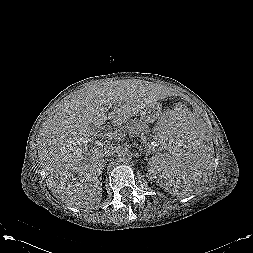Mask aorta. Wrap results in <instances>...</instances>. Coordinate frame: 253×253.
I'll return each instance as SVG.
<instances>
[{
  "label": "aorta",
  "mask_w": 253,
  "mask_h": 253,
  "mask_svg": "<svg viewBox=\"0 0 253 253\" xmlns=\"http://www.w3.org/2000/svg\"><path fill=\"white\" fill-rule=\"evenodd\" d=\"M118 158L122 162H129L133 158V153L127 148H122L118 151Z\"/></svg>",
  "instance_id": "762f6f07"
}]
</instances>
